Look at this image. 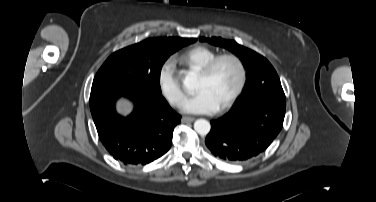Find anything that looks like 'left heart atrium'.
Masks as SVG:
<instances>
[{"mask_svg": "<svg viewBox=\"0 0 376 202\" xmlns=\"http://www.w3.org/2000/svg\"><path fill=\"white\" fill-rule=\"evenodd\" d=\"M182 108L189 113L207 114L217 111L219 107L206 89H200L183 101Z\"/></svg>", "mask_w": 376, "mask_h": 202, "instance_id": "39dd6f15", "label": "left heart atrium"}]
</instances>
